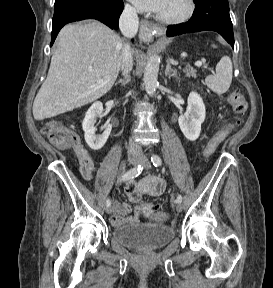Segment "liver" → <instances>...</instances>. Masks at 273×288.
Instances as JSON below:
<instances>
[{
    "instance_id": "liver-1",
    "label": "liver",
    "mask_w": 273,
    "mask_h": 288,
    "mask_svg": "<svg viewBox=\"0 0 273 288\" xmlns=\"http://www.w3.org/2000/svg\"><path fill=\"white\" fill-rule=\"evenodd\" d=\"M124 48L125 42L99 21L64 26L33 103L34 119L55 117L104 96L119 74Z\"/></svg>"
}]
</instances>
